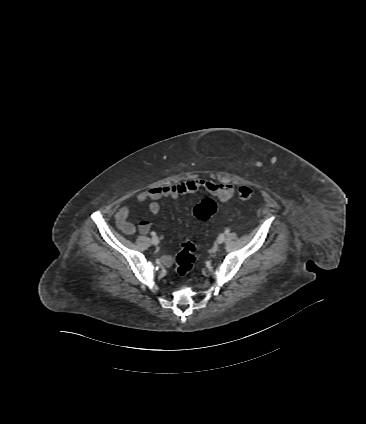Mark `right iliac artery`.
Listing matches in <instances>:
<instances>
[{"label": "right iliac artery", "mask_w": 366, "mask_h": 424, "mask_svg": "<svg viewBox=\"0 0 366 424\" xmlns=\"http://www.w3.org/2000/svg\"><path fill=\"white\" fill-rule=\"evenodd\" d=\"M151 235H152V236H155V235H156V233H155V232H151Z\"/></svg>", "instance_id": "82829eb1"}]
</instances>
